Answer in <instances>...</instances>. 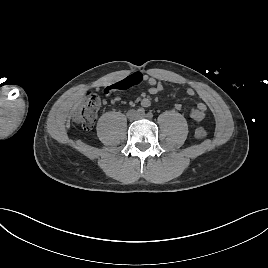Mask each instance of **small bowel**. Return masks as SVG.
<instances>
[{
  "mask_svg": "<svg viewBox=\"0 0 268 268\" xmlns=\"http://www.w3.org/2000/svg\"><path fill=\"white\" fill-rule=\"evenodd\" d=\"M126 78H130V79L136 81V84H139L142 82L146 83L148 85V93L151 95H155V94L161 92L164 88V85H163V82L161 79L153 77V76L148 75V74H142L140 72H135V73L123 78L122 80H124ZM122 80L118 81L117 83L121 82ZM186 94L188 96H194L196 94V91H195V89L188 87L186 89ZM119 101H120L119 97H115L112 99V102H119ZM140 103L143 107H149L151 105V99L148 96H144L141 99ZM181 107L182 106L180 104L175 105L176 110H181ZM206 110H207L206 104L203 102H199L197 104V106L191 110L190 118L196 123H201L206 117Z\"/></svg>",
  "mask_w": 268,
  "mask_h": 268,
  "instance_id": "1",
  "label": "small bowel"
}]
</instances>
